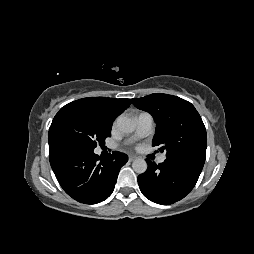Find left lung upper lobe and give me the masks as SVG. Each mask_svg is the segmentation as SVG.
<instances>
[{"mask_svg":"<svg viewBox=\"0 0 254 254\" xmlns=\"http://www.w3.org/2000/svg\"><path fill=\"white\" fill-rule=\"evenodd\" d=\"M134 106L149 112L156 122L153 146L167 152V158H195L205 162L207 135L204 123L188 101L155 93L133 98Z\"/></svg>","mask_w":254,"mask_h":254,"instance_id":"1","label":"left lung upper lobe"}]
</instances>
